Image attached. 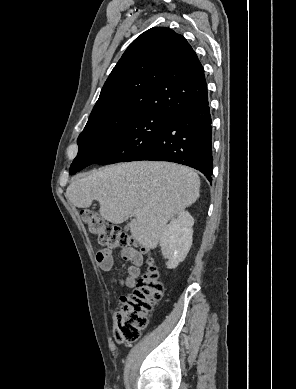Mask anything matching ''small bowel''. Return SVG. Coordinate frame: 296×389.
Returning a JSON list of instances; mask_svg holds the SVG:
<instances>
[{
  "instance_id": "obj_1",
  "label": "small bowel",
  "mask_w": 296,
  "mask_h": 389,
  "mask_svg": "<svg viewBox=\"0 0 296 389\" xmlns=\"http://www.w3.org/2000/svg\"><path fill=\"white\" fill-rule=\"evenodd\" d=\"M122 259L130 261L128 267V275L126 278L114 279L113 282L119 285L122 289H128L134 286L136 279L140 276V267L143 262L142 255L134 248L127 247L121 251ZM96 260L99 266L104 271H111L113 268V256L110 250L102 249L98 251Z\"/></svg>"
}]
</instances>
